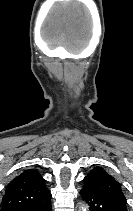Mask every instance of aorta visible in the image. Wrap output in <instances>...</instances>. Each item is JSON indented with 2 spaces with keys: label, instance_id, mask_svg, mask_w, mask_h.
I'll return each mask as SVG.
<instances>
[{
  "label": "aorta",
  "instance_id": "obj_1",
  "mask_svg": "<svg viewBox=\"0 0 133 211\" xmlns=\"http://www.w3.org/2000/svg\"><path fill=\"white\" fill-rule=\"evenodd\" d=\"M80 211H88V206L86 204H83L81 207H80Z\"/></svg>",
  "mask_w": 133,
  "mask_h": 211
}]
</instances>
